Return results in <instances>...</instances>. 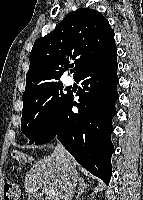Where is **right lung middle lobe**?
Segmentation results:
<instances>
[{
    "label": "right lung middle lobe",
    "instance_id": "obj_1",
    "mask_svg": "<svg viewBox=\"0 0 143 200\" xmlns=\"http://www.w3.org/2000/svg\"><path fill=\"white\" fill-rule=\"evenodd\" d=\"M63 85L54 82L39 86L23 94L21 120L22 133L34 143L60 110L69 94L63 93Z\"/></svg>",
    "mask_w": 143,
    "mask_h": 200
}]
</instances>
